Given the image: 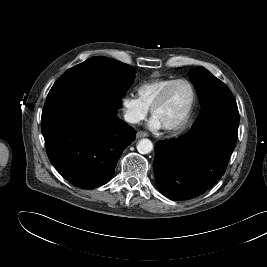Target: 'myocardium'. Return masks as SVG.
<instances>
[{
  "mask_svg": "<svg viewBox=\"0 0 267 267\" xmlns=\"http://www.w3.org/2000/svg\"><path fill=\"white\" fill-rule=\"evenodd\" d=\"M179 83H184L186 85L189 86V88L191 89V93H192V98H191V102L184 114V116L175 124L173 125H169V126H162V128L166 131L169 132H173V133H178L182 130H184L190 120L191 114H192V110L194 108L195 105V100H196V92L194 89V86L192 85V83L189 80L186 79H175L174 81H172L171 83H169L168 85H166L160 92L159 94L156 96V98L154 99L153 103L151 104V114L152 116H154L156 109L163 103V101L166 99V97L168 96L170 90L177 84Z\"/></svg>",
  "mask_w": 267,
  "mask_h": 267,
  "instance_id": "myocardium-1",
  "label": "myocardium"
}]
</instances>
